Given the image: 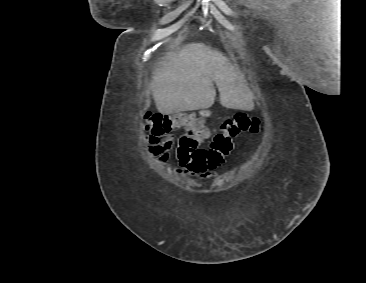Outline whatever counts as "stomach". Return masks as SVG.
Wrapping results in <instances>:
<instances>
[{
	"label": "stomach",
	"instance_id": "obj_1",
	"mask_svg": "<svg viewBox=\"0 0 366 283\" xmlns=\"http://www.w3.org/2000/svg\"><path fill=\"white\" fill-rule=\"evenodd\" d=\"M199 114H200V116H202V117H209V116H210V114H211V112H210L209 110H205V109H203V110H201V111L199 112Z\"/></svg>",
	"mask_w": 366,
	"mask_h": 283
}]
</instances>
